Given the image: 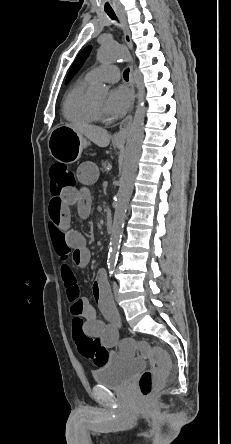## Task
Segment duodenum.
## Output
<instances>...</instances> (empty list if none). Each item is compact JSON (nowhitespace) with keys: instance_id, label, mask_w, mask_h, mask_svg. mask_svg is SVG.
Listing matches in <instances>:
<instances>
[{"instance_id":"obj_1","label":"duodenum","mask_w":231,"mask_h":444,"mask_svg":"<svg viewBox=\"0 0 231 444\" xmlns=\"http://www.w3.org/2000/svg\"><path fill=\"white\" fill-rule=\"evenodd\" d=\"M105 228L106 231L109 233L112 231L113 228V217L111 213H107L105 217Z\"/></svg>"}]
</instances>
